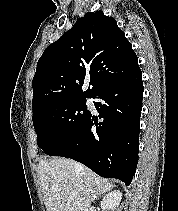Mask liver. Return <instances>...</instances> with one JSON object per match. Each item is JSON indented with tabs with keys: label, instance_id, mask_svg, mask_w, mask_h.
<instances>
[{
	"label": "liver",
	"instance_id": "obj_1",
	"mask_svg": "<svg viewBox=\"0 0 178 211\" xmlns=\"http://www.w3.org/2000/svg\"><path fill=\"white\" fill-rule=\"evenodd\" d=\"M66 158H48L38 165L47 211H90L91 202L112 185L89 168Z\"/></svg>",
	"mask_w": 178,
	"mask_h": 211
}]
</instances>
